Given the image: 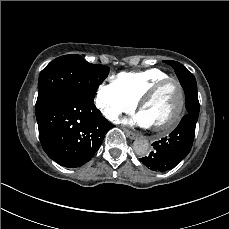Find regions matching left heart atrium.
I'll return each mask as SVG.
<instances>
[{
  "label": "left heart atrium",
  "mask_w": 229,
  "mask_h": 229,
  "mask_svg": "<svg viewBox=\"0 0 229 229\" xmlns=\"http://www.w3.org/2000/svg\"><path fill=\"white\" fill-rule=\"evenodd\" d=\"M124 122L131 125H137L142 128H148L150 126L148 121L144 118V116L141 113L133 118L125 119Z\"/></svg>",
  "instance_id": "obj_1"
}]
</instances>
